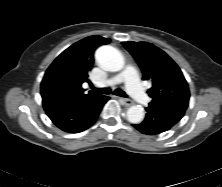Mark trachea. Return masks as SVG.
<instances>
[{"label":"trachea","instance_id":"3493384b","mask_svg":"<svg viewBox=\"0 0 222 187\" xmlns=\"http://www.w3.org/2000/svg\"><path fill=\"white\" fill-rule=\"evenodd\" d=\"M92 89L98 94H110L111 93L110 88H95V87H92ZM114 94L117 95V96H121V97H127L125 92L122 91L121 89H115Z\"/></svg>","mask_w":222,"mask_h":187}]
</instances>
